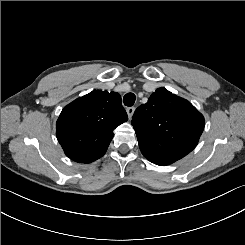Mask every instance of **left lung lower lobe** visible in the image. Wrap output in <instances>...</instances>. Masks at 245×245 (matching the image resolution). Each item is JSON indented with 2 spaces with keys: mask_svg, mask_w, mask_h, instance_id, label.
Here are the masks:
<instances>
[{
  "mask_svg": "<svg viewBox=\"0 0 245 245\" xmlns=\"http://www.w3.org/2000/svg\"><path fill=\"white\" fill-rule=\"evenodd\" d=\"M176 160L172 159V158H159L156 160L155 164L157 165H170L172 163H174Z\"/></svg>",
  "mask_w": 245,
  "mask_h": 245,
  "instance_id": "1",
  "label": "left lung lower lobe"
}]
</instances>
